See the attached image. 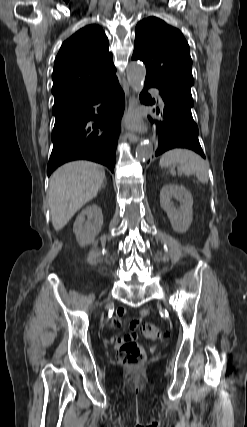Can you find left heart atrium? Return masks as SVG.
Segmentation results:
<instances>
[{
    "instance_id": "left-heart-atrium-1",
    "label": "left heart atrium",
    "mask_w": 247,
    "mask_h": 427,
    "mask_svg": "<svg viewBox=\"0 0 247 427\" xmlns=\"http://www.w3.org/2000/svg\"><path fill=\"white\" fill-rule=\"evenodd\" d=\"M130 124L132 126H134V127H140V122H139V120L136 117H134V118L131 119Z\"/></svg>"
}]
</instances>
